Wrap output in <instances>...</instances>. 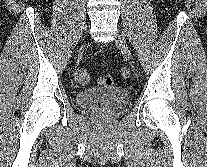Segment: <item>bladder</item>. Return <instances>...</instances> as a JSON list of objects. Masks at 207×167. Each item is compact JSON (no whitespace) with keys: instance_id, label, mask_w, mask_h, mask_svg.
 Segmentation results:
<instances>
[{"instance_id":"obj_1","label":"bladder","mask_w":207,"mask_h":167,"mask_svg":"<svg viewBox=\"0 0 207 167\" xmlns=\"http://www.w3.org/2000/svg\"><path fill=\"white\" fill-rule=\"evenodd\" d=\"M75 101L87 110L117 111L127 106L129 94L120 87L89 88L77 92Z\"/></svg>"}]
</instances>
